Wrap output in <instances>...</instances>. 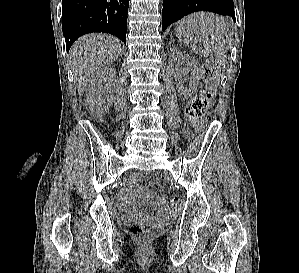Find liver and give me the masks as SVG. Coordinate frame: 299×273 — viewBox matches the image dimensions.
I'll return each instance as SVG.
<instances>
[{
  "label": "liver",
  "instance_id": "1",
  "mask_svg": "<svg viewBox=\"0 0 299 273\" xmlns=\"http://www.w3.org/2000/svg\"><path fill=\"white\" fill-rule=\"evenodd\" d=\"M120 52V41L107 34H88L74 43L69 52V59L80 95L84 93L90 75L100 67L115 61Z\"/></svg>",
  "mask_w": 299,
  "mask_h": 273
}]
</instances>
